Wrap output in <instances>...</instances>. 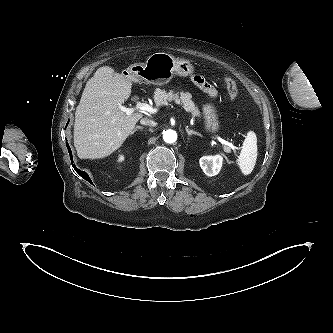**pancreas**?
I'll return each instance as SVG.
<instances>
[{"label":"pancreas","instance_id":"pancreas-1","mask_svg":"<svg viewBox=\"0 0 333 333\" xmlns=\"http://www.w3.org/2000/svg\"><path fill=\"white\" fill-rule=\"evenodd\" d=\"M191 98L192 95L184 91H181L179 94L174 90L167 92L165 90L156 89L154 92V101L158 106L168 105L169 102L174 101L176 104L182 105L186 111L191 112L193 116L198 117L200 112Z\"/></svg>","mask_w":333,"mask_h":333}]
</instances>
